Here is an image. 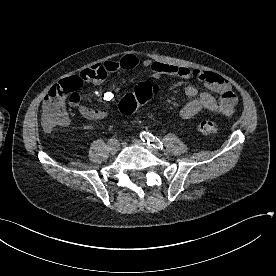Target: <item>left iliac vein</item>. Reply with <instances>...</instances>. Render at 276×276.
<instances>
[{"label": "left iliac vein", "instance_id": "left-iliac-vein-1", "mask_svg": "<svg viewBox=\"0 0 276 276\" xmlns=\"http://www.w3.org/2000/svg\"><path fill=\"white\" fill-rule=\"evenodd\" d=\"M134 144L144 147L146 149H148L151 153L158 155V151L156 149H154L151 145L146 144L144 141L140 140V139H133L132 141Z\"/></svg>", "mask_w": 276, "mask_h": 276}]
</instances>
